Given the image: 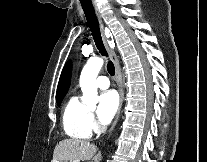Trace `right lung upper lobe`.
Listing matches in <instances>:
<instances>
[{
	"mask_svg": "<svg viewBox=\"0 0 207 162\" xmlns=\"http://www.w3.org/2000/svg\"><path fill=\"white\" fill-rule=\"evenodd\" d=\"M70 76H71V65L67 64L63 69V72L59 80L57 93H56V100L63 98L67 93V90L70 85Z\"/></svg>",
	"mask_w": 207,
	"mask_h": 162,
	"instance_id": "right-lung-upper-lobe-1",
	"label": "right lung upper lobe"
}]
</instances>
